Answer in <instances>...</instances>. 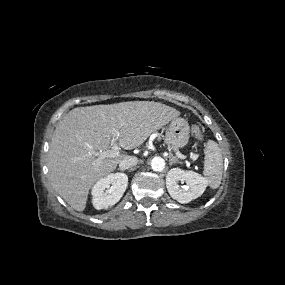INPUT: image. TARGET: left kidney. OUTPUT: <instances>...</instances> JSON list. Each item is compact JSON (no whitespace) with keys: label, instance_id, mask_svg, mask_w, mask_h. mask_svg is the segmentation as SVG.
I'll use <instances>...</instances> for the list:
<instances>
[{"label":"left kidney","instance_id":"1","mask_svg":"<svg viewBox=\"0 0 285 285\" xmlns=\"http://www.w3.org/2000/svg\"><path fill=\"white\" fill-rule=\"evenodd\" d=\"M179 182L182 184L186 183L188 188L180 186ZM166 187L170 196L183 204L201 196L207 187V181L193 171L173 168L167 173Z\"/></svg>","mask_w":285,"mask_h":285}]
</instances>
